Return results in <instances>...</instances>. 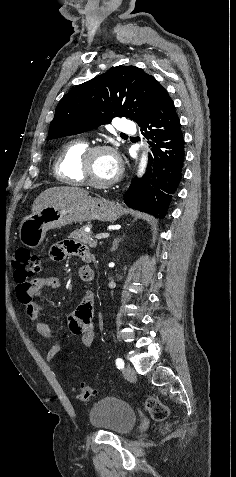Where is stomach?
Here are the masks:
<instances>
[{
  "mask_svg": "<svg viewBox=\"0 0 236 477\" xmlns=\"http://www.w3.org/2000/svg\"><path fill=\"white\" fill-rule=\"evenodd\" d=\"M121 214V206L104 198L74 199L24 217L19 224V238L23 245L33 249L42 244L49 229L91 220L113 222Z\"/></svg>",
  "mask_w": 236,
  "mask_h": 477,
  "instance_id": "1",
  "label": "stomach"
}]
</instances>
